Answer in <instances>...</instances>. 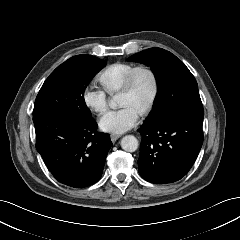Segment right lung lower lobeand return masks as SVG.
<instances>
[{
    "instance_id": "98d812e1",
    "label": "right lung lower lobe",
    "mask_w": 240,
    "mask_h": 240,
    "mask_svg": "<svg viewBox=\"0 0 240 240\" xmlns=\"http://www.w3.org/2000/svg\"><path fill=\"white\" fill-rule=\"evenodd\" d=\"M36 149L57 181L73 188L95 184L112 146L107 133H98L93 118L56 114L33 116Z\"/></svg>"
}]
</instances>
